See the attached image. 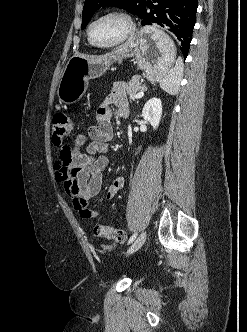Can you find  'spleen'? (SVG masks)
Here are the masks:
<instances>
[{
	"label": "spleen",
	"instance_id": "obj_1",
	"mask_svg": "<svg viewBox=\"0 0 247 332\" xmlns=\"http://www.w3.org/2000/svg\"><path fill=\"white\" fill-rule=\"evenodd\" d=\"M182 75L183 60L182 58H178L175 67L171 69L165 77L159 80L161 89L171 95H176L180 88Z\"/></svg>",
	"mask_w": 247,
	"mask_h": 332
}]
</instances>
